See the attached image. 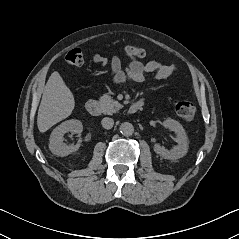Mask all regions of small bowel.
I'll return each mask as SVG.
<instances>
[{
	"label": "small bowel",
	"mask_w": 239,
	"mask_h": 239,
	"mask_svg": "<svg viewBox=\"0 0 239 239\" xmlns=\"http://www.w3.org/2000/svg\"><path fill=\"white\" fill-rule=\"evenodd\" d=\"M125 56L131 59L126 71L122 70L121 58L118 56L108 59L96 54L92 60L102 67L112 84H120L128 80L140 83L144 81L146 74H153L158 80L167 79L173 75L175 70L172 65L163 64L155 60L143 63L130 54H125Z\"/></svg>",
	"instance_id": "obj_1"
}]
</instances>
